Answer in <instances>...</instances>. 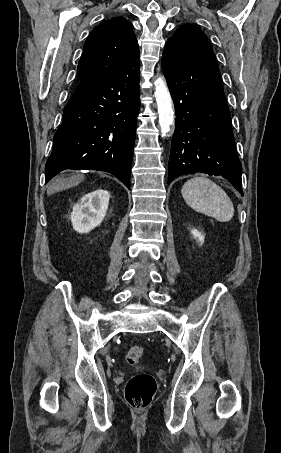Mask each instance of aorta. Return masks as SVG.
I'll return each mask as SVG.
<instances>
[{"label": "aorta", "instance_id": "aorta-1", "mask_svg": "<svg viewBox=\"0 0 281 453\" xmlns=\"http://www.w3.org/2000/svg\"><path fill=\"white\" fill-rule=\"evenodd\" d=\"M154 94L157 103L161 135L162 137H165L170 131L171 125L174 123L175 113L173 110L171 94L163 78H158L156 80Z\"/></svg>", "mask_w": 281, "mask_h": 453}]
</instances>
